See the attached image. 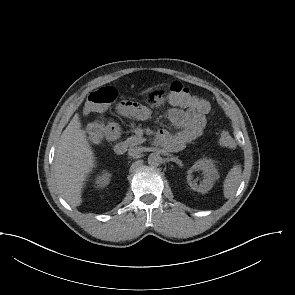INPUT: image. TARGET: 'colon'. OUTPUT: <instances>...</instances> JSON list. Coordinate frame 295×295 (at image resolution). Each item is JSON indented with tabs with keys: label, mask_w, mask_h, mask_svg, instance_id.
I'll return each mask as SVG.
<instances>
[{
	"label": "colon",
	"mask_w": 295,
	"mask_h": 295,
	"mask_svg": "<svg viewBox=\"0 0 295 295\" xmlns=\"http://www.w3.org/2000/svg\"><path fill=\"white\" fill-rule=\"evenodd\" d=\"M117 90L113 87H104L92 92L85 103L84 110L86 113H104L108 107L116 100ZM170 99H174L181 105L193 107L198 112L209 113L210 104L207 100L191 93L181 82L175 81L170 85ZM89 140L94 144L102 143L107 137L106 123L96 121L88 128ZM219 144L227 149H234L236 142L231 132L227 129L220 131L218 136Z\"/></svg>",
	"instance_id": "colon-1"
}]
</instances>
